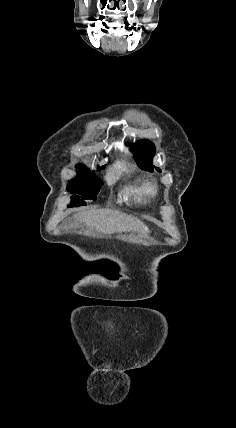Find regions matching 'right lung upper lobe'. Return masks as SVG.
Instances as JSON below:
<instances>
[{"label":"right lung upper lobe","instance_id":"1","mask_svg":"<svg viewBox=\"0 0 236 428\" xmlns=\"http://www.w3.org/2000/svg\"><path fill=\"white\" fill-rule=\"evenodd\" d=\"M76 167H78V168H85V166L84 165H82V164H79V165H77ZM100 169V168H99Z\"/></svg>","mask_w":236,"mask_h":428}]
</instances>
